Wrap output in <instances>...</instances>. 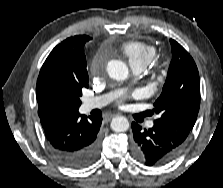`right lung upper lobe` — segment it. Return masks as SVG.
I'll return each instance as SVG.
<instances>
[{
	"instance_id": "cb5924a9",
	"label": "right lung upper lobe",
	"mask_w": 223,
	"mask_h": 188,
	"mask_svg": "<svg viewBox=\"0 0 223 188\" xmlns=\"http://www.w3.org/2000/svg\"><path fill=\"white\" fill-rule=\"evenodd\" d=\"M90 39L87 35L67 38L57 45L45 60L36 85L40 119L78 112L75 108H60L55 96L88 81L87 70L82 69L81 61L83 56L85 57L84 45Z\"/></svg>"
}]
</instances>
